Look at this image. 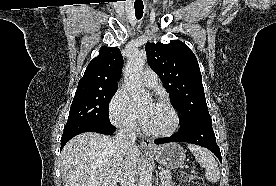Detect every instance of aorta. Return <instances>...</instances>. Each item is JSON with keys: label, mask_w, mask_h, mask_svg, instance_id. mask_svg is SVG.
<instances>
[{"label": "aorta", "mask_w": 276, "mask_h": 186, "mask_svg": "<svg viewBox=\"0 0 276 186\" xmlns=\"http://www.w3.org/2000/svg\"><path fill=\"white\" fill-rule=\"evenodd\" d=\"M146 60V53L138 51L129 58L125 66V86L135 103H141L150 98L143 88L141 79V73ZM138 186H152V168L147 160H144L140 167Z\"/></svg>", "instance_id": "obj_1"}]
</instances>
